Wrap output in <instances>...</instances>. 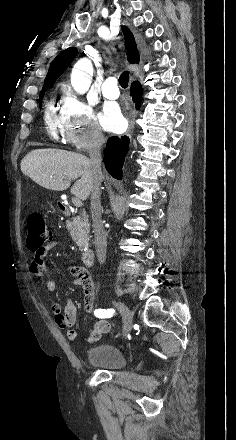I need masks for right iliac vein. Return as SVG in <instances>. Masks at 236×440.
<instances>
[{
    "mask_svg": "<svg viewBox=\"0 0 236 440\" xmlns=\"http://www.w3.org/2000/svg\"><path fill=\"white\" fill-rule=\"evenodd\" d=\"M112 303L119 309L123 317V334L126 336L132 327V313L130 309L122 302L112 301Z\"/></svg>",
    "mask_w": 236,
    "mask_h": 440,
    "instance_id": "1",
    "label": "right iliac vein"
}]
</instances>
